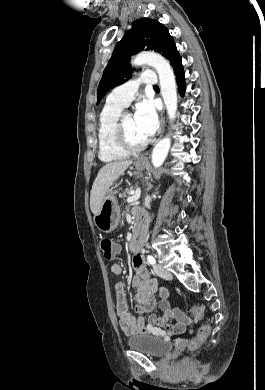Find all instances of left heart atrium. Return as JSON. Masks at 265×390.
I'll return each mask as SVG.
<instances>
[{"label": "left heart atrium", "instance_id": "obj_1", "mask_svg": "<svg viewBox=\"0 0 265 390\" xmlns=\"http://www.w3.org/2000/svg\"><path fill=\"white\" fill-rule=\"evenodd\" d=\"M139 134L149 139L158 128V118L151 102L143 101L137 105L133 116Z\"/></svg>", "mask_w": 265, "mask_h": 390}]
</instances>
